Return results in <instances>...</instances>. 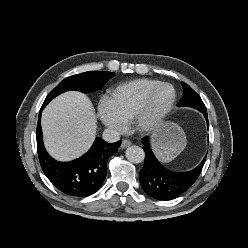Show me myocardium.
I'll use <instances>...</instances> for the list:
<instances>
[{"mask_svg":"<svg viewBox=\"0 0 248 248\" xmlns=\"http://www.w3.org/2000/svg\"><path fill=\"white\" fill-rule=\"evenodd\" d=\"M168 87L172 90L170 101L161 109H154V100L160 89ZM177 99L174 86L167 82H160L154 86L146 95L141 105L135 111L132 118L134 129L140 133H149L155 130L171 112Z\"/></svg>","mask_w":248,"mask_h":248,"instance_id":"obj_1","label":"myocardium"}]
</instances>
